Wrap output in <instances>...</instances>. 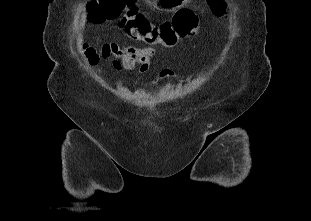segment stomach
<instances>
[{"mask_svg": "<svg viewBox=\"0 0 311 221\" xmlns=\"http://www.w3.org/2000/svg\"><path fill=\"white\" fill-rule=\"evenodd\" d=\"M150 2L156 10H175L183 6L186 0H150Z\"/></svg>", "mask_w": 311, "mask_h": 221, "instance_id": "obj_1", "label": "stomach"}]
</instances>
